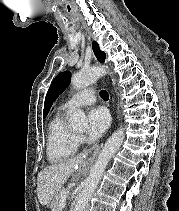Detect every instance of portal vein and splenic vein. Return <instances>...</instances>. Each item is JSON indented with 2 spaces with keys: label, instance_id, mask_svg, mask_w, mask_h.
<instances>
[{
  "label": "portal vein and splenic vein",
  "instance_id": "1",
  "mask_svg": "<svg viewBox=\"0 0 179 211\" xmlns=\"http://www.w3.org/2000/svg\"><path fill=\"white\" fill-rule=\"evenodd\" d=\"M68 195H69V191H63L61 193L62 203H64L66 201V198H67Z\"/></svg>",
  "mask_w": 179,
  "mask_h": 211
}]
</instances>
